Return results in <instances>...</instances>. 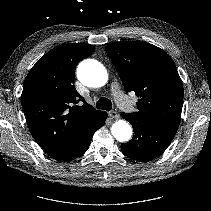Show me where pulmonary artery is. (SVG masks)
Masks as SVG:
<instances>
[{"instance_id":"obj_1","label":"pulmonary artery","mask_w":211,"mask_h":211,"mask_svg":"<svg viewBox=\"0 0 211 211\" xmlns=\"http://www.w3.org/2000/svg\"><path fill=\"white\" fill-rule=\"evenodd\" d=\"M111 92L120 108L126 110L130 106L129 99L123 94L118 83L112 84Z\"/></svg>"}]
</instances>
